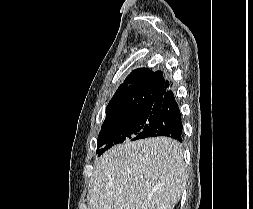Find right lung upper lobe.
<instances>
[{"label":"right lung upper lobe","instance_id":"cb5924a9","mask_svg":"<svg viewBox=\"0 0 253 209\" xmlns=\"http://www.w3.org/2000/svg\"><path fill=\"white\" fill-rule=\"evenodd\" d=\"M169 87V81L164 79L161 71L153 72L148 68L132 71L110 100L104 122L137 108L152 107Z\"/></svg>","mask_w":253,"mask_h":209}]
</instances>
